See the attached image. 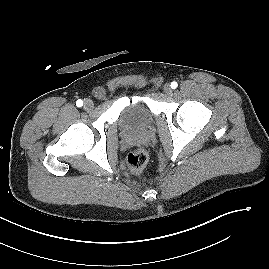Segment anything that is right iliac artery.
I'll return each mask as SVG.
<instances>
[{
    "label": "right iliac artery",
    "instance_id": "1",
    "mask_svg": "<svg viewBox=\"0 0 269 269\" xmlns=\"http://www.w3.org/2000/svg\"><path fill=\"white\" fill-rule=\"evenodd\" d=\"M76 105L81 107L83 105V101L81 99L77 100Z\"/></svg>",
    "mask_w": 269,
    "mask_h": 269
}]
</instances>
